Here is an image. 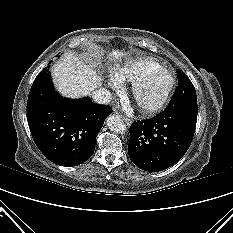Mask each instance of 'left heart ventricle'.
<instances>
[{
  "instance_id": "1",
  "label": "left heart ventricle",
  "mask_w": 233,
  "mask_h": 233,
  "mask_svg": "<svg viewBox=\"0 0 233 233\" xmlns=\"http://www.w3.org/2000/svg\"><path fill=\"white\" fill-rule=\"evenodd\" d=\"M168 79L163 74H155L142 92V100L151 102L157 99L166 88Z\"/></svg>"
}]
</instances>
